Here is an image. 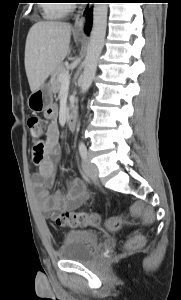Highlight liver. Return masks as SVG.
<instances>
[{"label":"liver","mask_w":181,"mask_h":300,"mask_svg":"<svg viewBox=\"0 0 181 300\" xmlns=\"http://www.w3.org/2000/svg\"><path fill=\"white\" fill-rule=\"evenodd\" d=\"M70 35L68 23L40 21L30 28L25 45V70L32 92L70 54Z\"/></svg>","instance_id":"1"}]
</instances>
